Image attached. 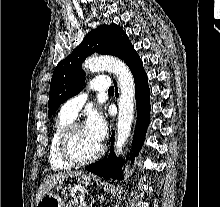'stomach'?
I'll use <instances>...</instances> for the list:
<instances>
[{
	"label": "stomach",
	"instance_id": "stomach-1",
	"mask_svg": "<svg viewBox=\"0 0 220 207\" xmlns=\"http://www.w3.org/2000/svg\"><path fill=\"white\" fill-rule=\"evenodd\" d=\"M81 183L84 186H90L92 184V178L83 175ZM59 188L60 186L56 187V190ZM37 207H64V204L60 196L52 191L41 198V200L37 203Z\"/></svg>",
	"mask_w": 220,
	"mask_h": 207
}]
</instances>
